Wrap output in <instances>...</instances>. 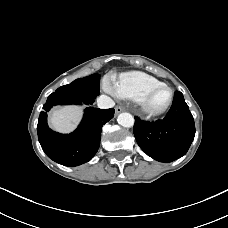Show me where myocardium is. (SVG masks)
<instances>
[{
  "mask_svg": "<svg viewBox=\"0 0 228 228\" xmlns=\"http://www.w3.org/2000/svg\"><path fill=\"white\" fill-rule=\"evenodd\" d=\"M162 88H164L168 91V99L162 107H160L158 109H152L149 106V99L155 91L162 89ZM173 98H174V93H173L172 88L164 83H161V84H157V85H154V86L148 88L142 94V96L140 97L138 102H139L140 108L144 114H146L147 116H150V117H156V116H160V115L164 114L171 107Z\"/></svg>",
  "mask_w": 228,
  "mask_h": 228,
  "instance_id": "myocardium-1",
  "label": "myocardium"
}]
</instances>
